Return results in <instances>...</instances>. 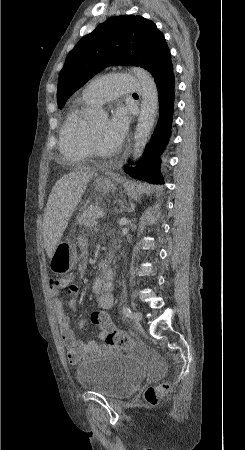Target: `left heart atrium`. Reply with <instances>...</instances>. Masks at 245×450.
<instances>
[{
  "mask_svg": "<svg viewBox=\"0 0 245 450\" xmlns=\"http://www.w3.org/2000/svg\"><path fill=\"white\" fill-rule=\"evenodd\" d=\"M129 117L125 109H117L107 122V136L111 144L118 147L128 131Z\"/></svg>",
  "mask_w": 245,
  "mask_h": 450,
  "instance_id": "obj_1",
  "label": "left heart atrium"
}]
</instances>
